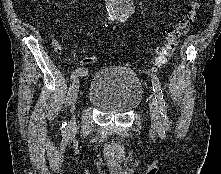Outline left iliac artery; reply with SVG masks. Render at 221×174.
I'll return each mask as SVG.
<instances>
[{
  "instance_id": "obj_1",
  "label": "left iliac artery",
  "mask_w": 221,
  "mask_h": 174,
  "mask_svg": "<svg viewBox=\"0 0 221 174\" xmlns=\"http://www.w3.org/2000/svg\"><path fill=\"white\" fill-rule=\"evenodd\" d=\"M151 80H152V86H153V91L155 94V100L157 102V105L159 107V111L161 113V117L163 119V122L165 125L168 124V116H167V106L165 103V99L161 90V84L159 79L155 75H151Z\"/></svg>"
}]
</instances>
